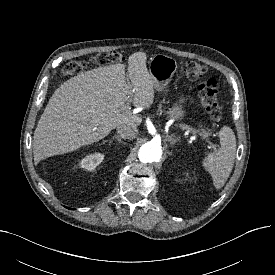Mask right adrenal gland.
<instances>
[{
	"mask_svg": "<svg viewBox=\"0 0 275 275\" xmlns=\"http://www.w3.org/2000/svg\"><path fill=\"white\" fill-rule=\"evenodd\" d=\"M113 140H117L119 143H122V144H126L124 141H122V139L119 137V136H117V135H115V136H113V138H112Z\"/></svg>",
	"mask_w": 275,
	"mask_h": 275,
	"instance_id": "1",
	"label": "right adrenal gland"
}]
</instances>
